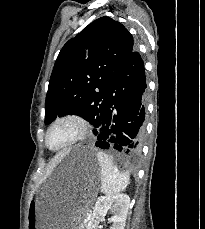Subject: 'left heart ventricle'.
<instances>
[{"instance_id":"obj_1","label":"left heart ventricle","mask_w":205,"mask_h":229,"mask_svg":"<svg viewBox=\"0 0 205 229\" xmlns=\"http://www.w3.org/2000/svg\"><path fill=\"white\" fill-rule=\"evenodd\" d=\"M75 133V128L71 124H60L53 129L49 136V145L58 147L67 142Z\"/></svg>"}]
</instances>
